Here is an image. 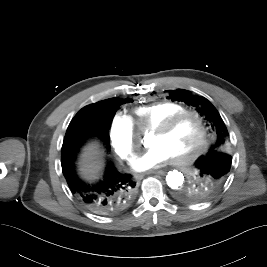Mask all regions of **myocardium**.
<instances>
[{
	"label": "myocardium",
	"instance_id": "f54148a6",
	"mask_svg": "<svg viewBox=\"0 0 267 267\" xmlns=\"http://www.w3.org/2000/svg\"><path fill=\"white\" fill-rule=\"evenodd\" d=\"M187 117L195 118L201 127V138L195 148V150L187 156L181 158H173V163L177 165H186L197 159L206 149L208 144V128L205 119L196 111H184L175 114L162 123H160L156 128L153 129L154 133L164 135L175 128L183 119Z\"/></svg>",
	"mask_w": 267,
	"mask_h": 267
}]
</instances>
